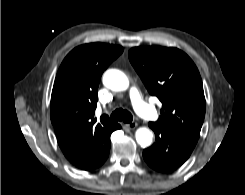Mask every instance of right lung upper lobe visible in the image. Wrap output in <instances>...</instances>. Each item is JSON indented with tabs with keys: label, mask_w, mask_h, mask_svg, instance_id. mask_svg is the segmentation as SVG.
Instances as JSON below:
<instances>
[{
	"label": "right lung upper lobe",
	"mask_w": 245,
	"mask_h": 195,
	"mask_svg": "<svg viewBox=\"0 0 245 195\" xmlns=\"http://www.w3.org/2000/svg\"><path fill=\"white\" fill-rule=\"evenodd\" d=\"M123 48L103 43L84 44L63 60L52 90L50 117L58 144L76 167L92 170L99 166L102 143L117 123L102 116L94 118L97 89L103 71Z\"/></svg>",
	"instance_id": "cb5924a9"
}]
</instances>
